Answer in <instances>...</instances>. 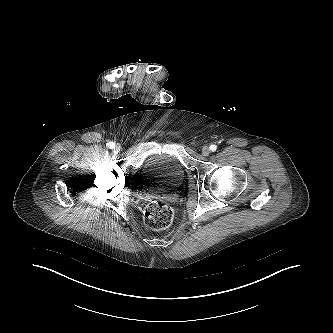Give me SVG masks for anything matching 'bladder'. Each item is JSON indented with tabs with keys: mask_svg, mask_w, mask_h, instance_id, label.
I'll use <instances>...</instances> for the list:
<instances>
[{
	"mask_svg": "<svg viewBox=\"0 0 333 333\" xmlns=\"http://www.w3.org/2000/svg\"><path fill=\"white\" fill-rule=\"evenodd\" d=\"M185 167L179 155L167 146L148 156L138 168V184L146 190H170L183 181Z\"/></svg>",
	"mask_w": 333,
	"mask_h": 333,
	"instance_id": "bladder-1",
	"label": "bladder"
}]
</instances>
